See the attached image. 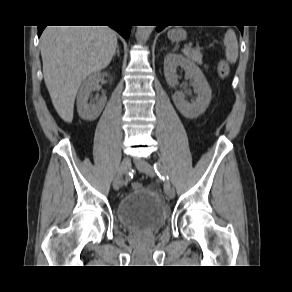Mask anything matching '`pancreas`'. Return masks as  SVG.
<instances>
[{"mask_svg":"<svg viewBox=\"0 0 292 292\" xmlns=\"http://www.w3.org/2000/svg\"><path fill=\"white\" fill-rule=\"evenodd\" d=\"M184 53L192 61L200 65L202 64V54L200 53L199 50L188 48V50L185 51Z\"/></svg>","mask_w":292,"mask_h":292,"instance_id":"cf45deb5","label":"pancreas"}]
</instances>
